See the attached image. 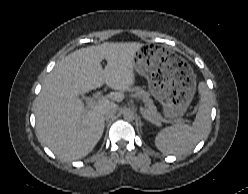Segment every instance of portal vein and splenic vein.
<instances>
[{
  "label": "portal vein and splenic vein",
  "instance_id": "18ae733b",
  "mask_svg": "<svg viewBox=\"0 0 248 194\" xmlns=\"http://www.w3.org/2000/svg\"><path fill=\"white\" fill-rule=\"evenodd\" d=\"M106 98H107V97H105V96H101V97L98 98L97 101H95L92 97L86 98L87 108H92V107H94L97 103H100V102L104 101ZM140 110H141V113H142V115H143V117H144L145 119H147L148 121H150V122H152V123H154V124H160L158 121L152 119V118L149 117L147 114H145V112L143 111V108H140Z\"/></svg>",
  "mask_w": 248,
  "mask_h": 194
}]
</instances>
